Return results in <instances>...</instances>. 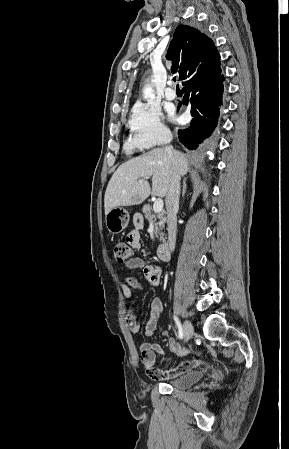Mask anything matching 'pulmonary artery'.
<instances>
[{
  "instance_id": "e3ab8cb5",
  "label": "pulmonary artery",
  "mask_w": 289,
  "mask_h": 449,
  "mask_svg": "<svg viewBox=\"0 0 289 449\" xmlns=\"http://www.w3.org/2000/svg\"><path fill=\"white\" fill-rule=\"evenodd\" d=\"M164 95H165V98H166L167 100H173V99H175V97H176V92H175V90L173 89L172 83H171V82L168 83V87L165 89Z\"/></svg>"
}]
</instances>
